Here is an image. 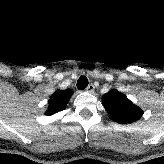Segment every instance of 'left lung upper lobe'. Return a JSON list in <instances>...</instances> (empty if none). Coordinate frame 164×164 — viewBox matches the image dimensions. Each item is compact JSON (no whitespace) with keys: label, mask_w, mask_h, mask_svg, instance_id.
<instances>
[{"label":"left lung upper lobe","mask_w":164,"mask_h":164,"mask_svg":"<svg viewBox=\"0 0 164 164\" xmlns=\"http://www.w3.org/2000/svg\"><path fill=\"white\" fill-rule=\"evenodd\" d=\"M102 102L109 117L117 123L128 124L142 117L143 111L117 90L104 94Z\"/></svg>","instance_id":"1"}]
</instances>
